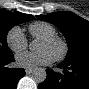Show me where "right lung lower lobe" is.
<instances>
[{"instance_id": "98d812e1", "label": "right lung lower lobe", "mask_w": 89, "mask_h": 89, "mask_svg": "<svg viewBox=\"0 0 89 89\" xmlns=\"http://www.w3.org/2000/svg\"><path fill=\"white\" fill-rule=\"evenodd\" d=\"M13 61L15 60L12 53L0 57V89H15L19 79L25 75L23 68L10 69L4 67Z\"/></svg>"}]
</instances>
